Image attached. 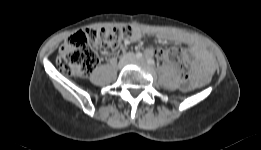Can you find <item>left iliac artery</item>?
Listing matches in <instances>:
<instances>
[{"instance_id":"left-iliac-artery-1","label":"left iliac artery","mask_w":261,"mask_h":150,"mask_svg":"<svg viewBox=\"0 0 261 150\" xmlns=\"http://www.w3.org/2000/svg\"><path fill=\"white\" fill-rule=\"evenodd\" d=\"M147 63H148L149 65H151V66H154V65H155L154 60L151 59V58H148V59H147Z\"/></svg>"}]
</instances>
